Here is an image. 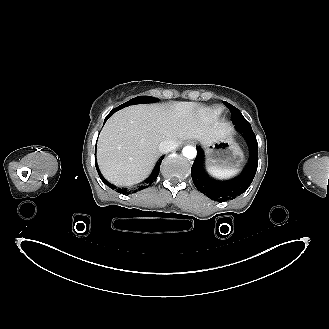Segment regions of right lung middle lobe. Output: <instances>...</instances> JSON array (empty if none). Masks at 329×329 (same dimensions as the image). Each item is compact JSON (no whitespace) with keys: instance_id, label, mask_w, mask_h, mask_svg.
<instances>
[{"instance_id":"1","label":"right lung middle lobe","mask_w":329,"mask_h":329,"mask_svg":"<svg viewBox=\"0 0 329 329\" xmlns=\"http://www.w3.org/2000/svg\"><path fill=\"white\" fill-rule=\"evenodd\" d=\"M157 99L151 96H138L135 97L131 100H129L128 102L116 107L115 109H113L112 111L116 112L124 107H127L129 105H135V104H139V103H153L156 102Z\"/></svg>"}]
</instances>
